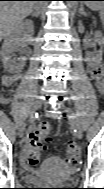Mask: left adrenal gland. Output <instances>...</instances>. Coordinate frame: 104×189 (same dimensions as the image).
Instances as JSON below:
<instances>
[{
    "instance_id": "left-adrenal-gland-1",
    "label": "left adrenal gland",
    "mask_w": 104,
    "mask_h": 189,
    "mask_svg": "<svg viewBox=\"0 0 104 189\" xmlns=\"http://www.w3.org/2000/svg\"><path fill=\"white\" fill-rule=\"evenodd\" d=\"M79 12H80V14H81V15L86 16V13H85V11H84V8H83V7H81V8H80Z\"/></svg>"
}]
</instances>
